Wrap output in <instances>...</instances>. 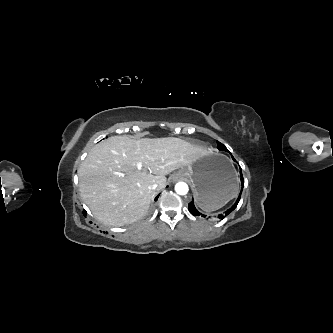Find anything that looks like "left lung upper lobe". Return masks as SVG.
<instances>
[{
  "label": "left lung upper lobe",
  "instance_id": "5c2ea615",
  "mask_svg": "<svg viewBox=\"0 0 333 333\" xmlns=\"http://www.w3.org/2000/svg\"><path fill=\"white\" fill-rule=\"evenodd\" d=\"M217 144H218V149H219V150H223V151H227V152H229V151L227 150V148L225 147V145H223V144L220 143V142H217Z\"/></svg>",
  "mask_w": 333,
  "mask_h": 333
}]
</instances>
